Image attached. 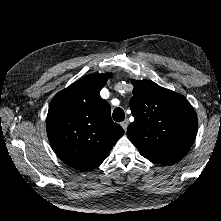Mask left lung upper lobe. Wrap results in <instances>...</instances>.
<instances>
[{
  "label": "left lung upper lobe",
  "instance_id": "5c2ea615",
  "mask_svg": "<svg viewBox=\"0 0 221 221\" xmlns=\"http://www.w3.org/2000/svg\"><path fill=\"white\" fill-rule=\"evenodd\" d=\"M130 108L135 120L129 140L153 163L169 165L185 156L197 132V116L185 97L149 80L132 81Z\"/></svg>",
  "mask_w": 221,
  "mask_h": 221
}]
</instances>
